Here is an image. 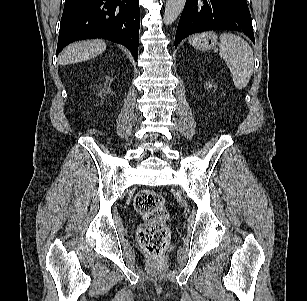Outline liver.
Returning a JSON list of instances; mask_svg holds the SVG:
<instances>
[{"label":"liver","instance_id":"1","mask_svg":"<svg viewBox=\"0 0 307 301\" xmlns=\"http://www.w3.org/2000/svg\"><path fill=\"white\" fill-rule=\"evenodd\" d=\"M105 49L106 44L102 40H88L74 43L62 51L59 62L61 65H68L86 61L101 54Z\"/></svg>","mask_w":307,"mask_h":301}]
</instances>
